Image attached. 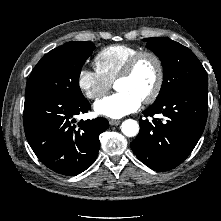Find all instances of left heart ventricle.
I'll list each match as a JSON object with an SVG mask.
<instances>
[{
  "mask_svg": "<svg viewBox=\"0 0 221 221\" xmlns=\"http://www.w3.org/2000/svg\"><path fill=\"white\" fill-rule=\"evenodd\" d=\"M157 77L155 63L150 58H143L131 77L118 80L115 87L118 91H129L145 98L153 89Z\"/></svg>",
  "mask_w": 221,
  "mask_h": 221,
  "instance_id": "obj_1",
  "label": "left heart ventricle"
}]
</instances>
